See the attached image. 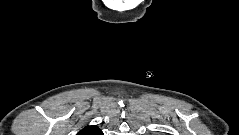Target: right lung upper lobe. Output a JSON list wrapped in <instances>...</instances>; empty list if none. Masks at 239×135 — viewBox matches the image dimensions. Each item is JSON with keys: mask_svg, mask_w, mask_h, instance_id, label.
I'll return each instance as SVG.
<instances>
[{"mask_svg": "<svg viewBox=\"0 0 239 135\" xmlns=\"http://www.w3.org/2000/svg\"><path fill=\"white\" fill-rule=\"evenodd\" d=\"M102 131L97 126H86L77 135H101Z\"/></svg>", "mask_w": 239, "mask_h": 135, "instance_id": "obj_1", "label": "right lung upper lobe"}]
</instances>
